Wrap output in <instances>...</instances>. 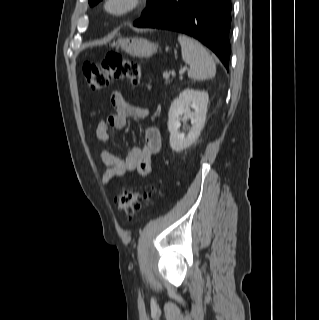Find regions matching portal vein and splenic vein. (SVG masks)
I'll list each match as a JSON object with an SVG mask.
<instances>
[{"label": "portal vein and splenic vein", "mask_w": 319, "mask_h": 320, "mask_svg": "<svg viewBox=\"0 0 319 320\" xmlns=\"http://www.w3.org/2000/svg\"><path fill=\"white\" fill-rule=\"evenodd\" d=\"M163 77H164L165 79H168V78L170 77V73L164 72V73H163Z\"/></svg>", "instance_id": "portal-vein-and-splenic-vein-1"}]
</instances>
